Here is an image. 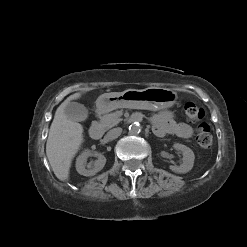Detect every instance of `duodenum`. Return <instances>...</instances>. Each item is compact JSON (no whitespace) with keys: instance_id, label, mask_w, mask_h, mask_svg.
<instances>
[{"instance_id":"410a0bca","label":"duodenum","mask_w":247,"mask_h":247,"mask_svg":"<svg viewBox=\"0 0 247 247\" xmlns=\"http://www.w3.org/2000/svg\"><path fill=\"white\" fill-rule=\"evenodd\" d=\"M89 135L93 140H99L103 135V128L100 124H93L89 129Z\"/></svg>"}]
</instances>
